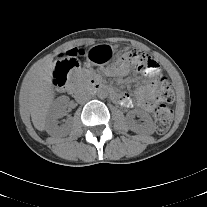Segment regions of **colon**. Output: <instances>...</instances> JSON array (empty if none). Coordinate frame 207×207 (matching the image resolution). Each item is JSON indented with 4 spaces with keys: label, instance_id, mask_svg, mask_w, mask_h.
<instances>
[{
    "label": "colon",
    "instance_id": "colon-1",
    "mask_svg": "<svg viewBox=\"0 0 207 207\" xmlns=\"http://www.w3.org/2000/svg\"><path fill=\"white\" fill-rule=\"evenodd\" d=\"M86 54L84 49H71L63 55L64 65H70L78 57ZM120 56L123 60H129L136 63L137 67L144 73L150 74L156 70L157 64L153 58L147 57L137 50H121ZM67 72V67L58 68L54 72V77L58 80H64ZM174 90L171 83L165 78L161 77V85L158 93V103L155 109L156 130L159 134L166 133L172 123L173 112L167 106L174 100Z\"/></svg>",
    "mask_w": 207,
    "mask_h": 207
}]
</instances>
